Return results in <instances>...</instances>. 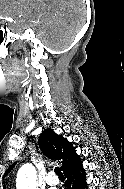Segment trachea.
Masks as SVG:
<instances>
[{
    "label": "trachea",
    "mask_w": 124,
    "mask_h": 189,
    "mask_svg": "<svg viewBox=\"0 0 124 189\" xmlns=\"http://www.w3.org/2000/svg\"><path fill=\"white\" fill-rule=\"evenodd\" d=\"M54 171L58 177H64V175L59 167H56Z\"/></svg>",
    "instance_id": "trachea-1"
}]
</instances>
